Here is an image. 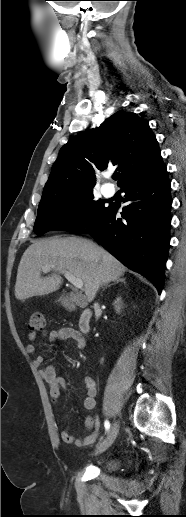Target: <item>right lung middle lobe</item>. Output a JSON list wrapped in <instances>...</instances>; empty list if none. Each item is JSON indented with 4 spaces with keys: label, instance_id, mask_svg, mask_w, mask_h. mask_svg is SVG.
<instances>
[{
    "label": "right lung middle lobe",
    "instance_id": "dd1d6c3e",
    "mask_svg": "<svg viewBox=\"0 0 186 517\" xmlns=\"http://www.w3.org/2000/svg\"><path fill=\"white\" fill-rule=\"evenodd\" d=\"M93 190L65 194L40 201L34 232L41 236L48 230L77 232L106 208L102 200H93Z\"/></svg>",
    "mask_w": 186,
    "mask_h": 517
}]
</instances>
